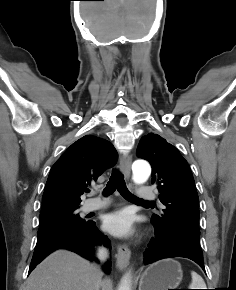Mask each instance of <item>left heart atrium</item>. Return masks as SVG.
I'll list each match as a JSON object with an SVG mask.
<instances>
[{
  "instance_id": "39dd6f15",
  "label": "left heart atrium",
  "mask_w": 236,
  "mask_h": 290,
  "mask_svg": "<svg viewBox=\"0 0 236 290\" xmlns=\"http://www.w3.org/2000/svg\"><path fill=\"white\" fill-rule=\"evenodd\" d=\"M104 228L115 236H130L133 232L132 215L127 210L112 212L105 217Z\"/></svg>"
}]
</instances>
